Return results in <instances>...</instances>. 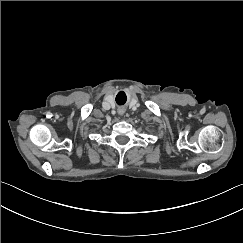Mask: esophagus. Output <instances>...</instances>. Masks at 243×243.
Returning a JSON list of instances; mask_svg holds the SVG:
<instances>
[{"label": "esophagus", "instance_id": "esophagus-1", "mask_svg": "<svg viewBox=\"0 0 243 243\" xmlns=\"http://www.w3.org/2000/svg\"><path fill=\"white\" fill-rule=\"evenodd\" d=\"M119 114H124V111H120V109L118 110Z\"/></svg>", "mask_w": 243, "mask_h": 243}]
</instances>
